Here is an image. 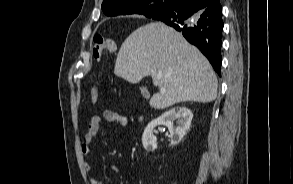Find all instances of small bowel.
I'll list each match as a JSON object with an SVG mask.
<instances>
[{
	"instance_id": "small-bowel-1",
	"label": "small bowel",
	"mask_w": 293,
	"mask_h": 184,
	"mask_svg": "<svg viewBox=\"0 0 293 184\" xmlns=\"http://www.w3.org/2000/svg\"><path fill=\"white\" fill-rule=\"evenodd\" d=\"M102 121L109 123H116L120 126H126L128 120L125 116L119 114L114 110H104L101 115H94L89 119L88 128L84 135V140L81 144V152L84 156V164L87 169L91 168V162L88 159L91 145L100 130V125ZM111 171L114 173H119L120 168L117 165H112L110 167ZM90 184H105L102 180L91 177Z\"/></svg>"
}]
</instances>
